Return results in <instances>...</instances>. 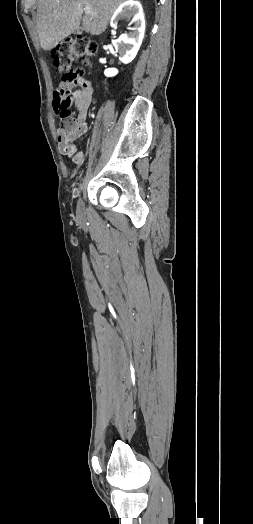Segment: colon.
I'll use <instances>...</instances> for the list:
<instances>
[{
	"mask_svg": "<svg viewBox=\"0 0 253 524\" xmlns=\"http://www.w3.org/2000/svg\"><path fill=\"white\" fill-rule=\"evenodd\" d=\"M97 44L84 36H69L65 38L53 53V64L61 74L60 88L62 98L55 105L61 120V128L69 134L78 127L73 115L75 96L87 97L94 93L93 82L85 75L84 68H75L78 61L87 66L90 58L95 54Z\"/></svg>",
	"mask_w": 253,
	"mask_h": 524,
	"instance_id": "5ec220e1",
	"label": "colon"
}]
</instances>
